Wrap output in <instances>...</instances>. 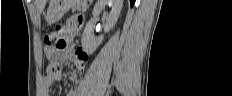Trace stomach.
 Masks as SVG:
<instances>
[{
  "instance_id": "obj_1",
  "label": "stomach",
  "mask_w": 232,
  "mask_h": 96,
  "mask_svg": "<svg viewBox=\"0 0 232 96\" xmlns=\"http://www.w3.org/2000/svg\"><path fill=\"white\" fill-rule=\"evenodd\" d=\"M72 4L73 0H52L46 15L47 23L51 25L60 20Z\"/></svg>"
}]
</instances>
